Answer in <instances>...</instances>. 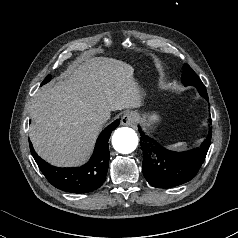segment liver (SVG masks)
<instances>
[{
  "mask_svg": "<svg viewBox=\"0 0 238 238\" xmlns=\"http://www.w3.org/2000/svg\"><path fill=\"white\" fill-rule=\"evenodd\" d=\"M131 65L94 57L72 65L53 85L34 95L29 136L35 151L59 167L77 166L90 155L100 116L142 105Z\"/></svg>",
  "mask_w": 238,
  "mask_h": 238,
  "instance_id": "6515ba94",
  "label": "liver"
}]
</instances>
